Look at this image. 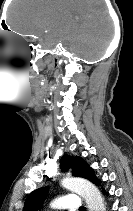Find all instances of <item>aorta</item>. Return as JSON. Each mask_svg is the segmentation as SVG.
I'll return each instance as SVG.
<instances>
[{
  "label": "aorta",
  "mask_w": 133,
  "mask_h": 211,
  "mask_svg": "<svg viewBox=\"0 0 133 211\" xmlns=\"http://www.w3.org/2000/svg\"><path fill=\"white\" fill-rule=\"evenodd\" d=\"M61 185L79 194L86 202L89 211H106L104 200L99 190L88 180L77 177H67Z\"/></svg>",
  "instance_id": "aorta-1"
}]
</instances>
